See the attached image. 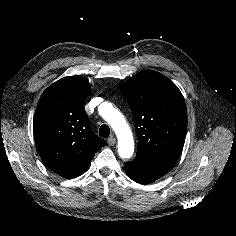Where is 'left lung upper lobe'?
Returning a JSON list of instances; mask_svg holds the SVG:
<instances>
[{"label":"left lung upper lobe","mask_w":236,"mask_h":236,"mask_svg":"<svg viewBox=\"0 0 236 236\" xmlns=\"http://www.w3.org/2000/svg\"><path fill=\"white\" fill-rule=\"evenodd\" d=\"M133 113L137 153L176 163L187 131V111L177 86L166 76L144 70L120 87Z\"/></svg>","instance_id":"5c2ea615"}]
</instances>
